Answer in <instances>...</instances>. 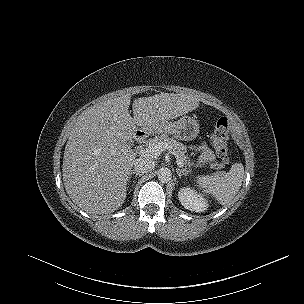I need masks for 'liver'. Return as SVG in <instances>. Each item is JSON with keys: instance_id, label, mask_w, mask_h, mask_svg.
<instances>
[{"instance_id": "6515ba94", "label": "liver", "mask_w": 304, "mask_h": 304, "mask_svg": "<svg viewBox=\"0 0 304 304\" xmlns=\"http://www.w3.org/2000/svg\"><path fill=\"white\" fill-rule=\"evenodd\" d=\"M108 99L86 109L66 143L62 173L70 199L88 214L118 210L126 199V185L136 153L126 145L138 126L158 128L195 110L193 95L161 93L134 100Z\"/></svg>"}]
</instances>
